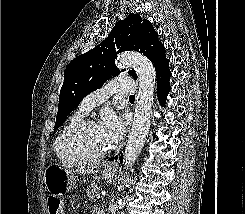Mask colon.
<instances>
[{
	"label": "colon",
	"instance_id": "5ec220e1",
	"mask_svg": "<svg viewBox=\"0 0 245 214\" xmlns=\"http://www.w3.org/2000/svg\"><path fill=\"white\" fill-rule=\"evenodd\" d=\"M50 214H64L61 202L59 199L51 198L48 202Z\"/></svg>",
	"mask_w": 245,
	"mask_h": 214
}]
</instances>
